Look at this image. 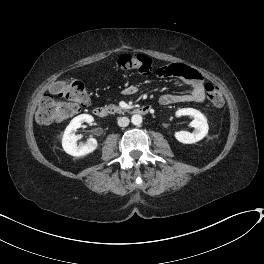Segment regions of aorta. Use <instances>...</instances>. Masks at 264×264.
<instances>
[{
  "instance_id": "762f6f07",
  "label": "aorta",
  "mask_w": 264,
  "mask_h": 264,
  "mask_svg": "<svg viewBox=\"0 0 264 264\" xmlns=\"http://www.w3.org/2000/svg\"><path fill=\"white\" fill-rule=\"evenodd\" d=\"M142 116L139 115V114H134L132 117H131V122L133 125H140L142 123Z\"/></svg>"
}]
</instances>
